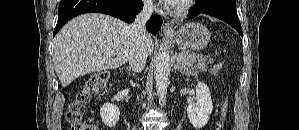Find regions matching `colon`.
<instances>
[{"label":"colon","mask_w":299,"mask_h":130,"mask_svg":"<svg viewBox=\"0 0 299 130\" xmlns=\"http://www.w3.org/2000/svg\"><path fill=\"white\" fill-rule=\"evenodd\" d=\"M219 65H217L218 67ZM109 74L107 72H97L89 76L83 84L82 89L78 93L76 99L69 105L66 119L71 126V130H98L97 127L83 118L86 106L92 97L99 91L105 89L109 82ZM227 113V102L224 100L222 105V121L216 128L221 130Z\"/></svg>","instance_id":"5ec220e1"}]
</instances>
